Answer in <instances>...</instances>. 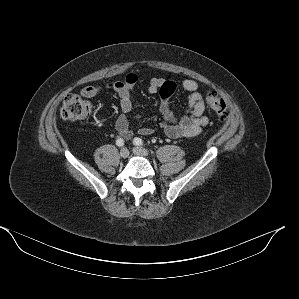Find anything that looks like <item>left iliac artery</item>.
<instances>
[{
	"mask_svg": "<svg viewBox=\"0 0 299 299\" xmlns=\"http://www.w3.org/2000/svg\"><path fill=\"white\" fill-rule=\"evenodd\" d=\"M133 143L135 145L141 146V145H143L144 142H143V140L141 138L136 137V138H134Z\"/></svg>",
	"mask_w": 299,
	"mask_h": 299,
	"instance_id": "1",
	"label": "left iliac artery"
}]
</instances>
